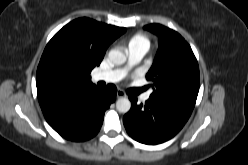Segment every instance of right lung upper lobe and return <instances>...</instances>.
Here are the masks:
<instances>
[{
	"label": "right lung upper lobe",
	"instance_id": "cb5924a9",
	"mask_svg": "<svg viewBox=\"0 0 248 165\" xmlns=\"http://www.w3.org/2000/svg\"><path fill=\"white\" fill-rule=\"evenodd\" d=\"M126 28L79 18L48 42L37 68L36 86L42 111L82 97L96 86L91 70L100 65L108 46Z\"/></svg>",
	"mask_w": 248,
	"mask_h": 165
}]
</instances>
